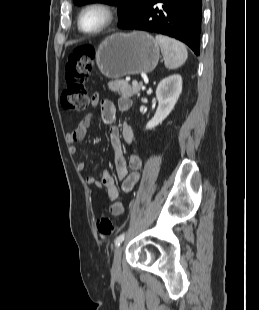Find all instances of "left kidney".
<instances>
[{
	"mask_svg": "<svg viewBox=\"0 0 259 310\" xmlns=\"http://www.w3.org/2000/svg\"><path fill=\"white\" fill-rule=\"evenodd\" d=\"M182 91V77L179 74L163 79L157 89L158 107L154 117L147 123L146 129H153L171 113Z\"/></svg>",
	"mask_w": 259,
	"mask_h": 310,
	"instance_id": "5707ae66",
	"label": "left kidney"
}]
</instances>
